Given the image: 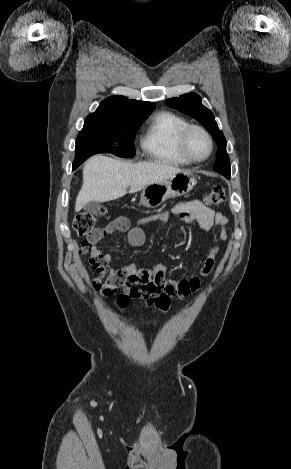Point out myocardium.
<instances>
[{"mask_svg": "<svg viewBox=\"0 0 291 469\" xmlns=\"http://www.w3.org/2000/svg\"><path fill=\"white\" fill-rule=\"evenodd\" d=\"M195 130H198V131L202 132L205 135V137L207 138L208 143H209V151L203 157L193 156L191 154V152L189 151V148H188L189 137H190L191 133ZM178 146H179L180 153L182 154V156L185 159H187L191 163H200V162L205 161L206 159H208L211 156V154L213 152V149H214V142H213V138H212L211 134L209 133V131L207 129H205L204 127H202L200 125H197V124H189L186 127H184L181 130V132L179 133Z\"/></svg>", "mask_w": 291, "mask_h": 469, "instance_id": "1", "label": "myocardium"}]
</instances>
